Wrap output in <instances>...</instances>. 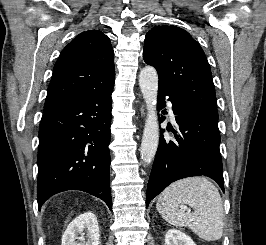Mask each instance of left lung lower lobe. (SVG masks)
Wrapping results in <instances>:
<instances>
[{
  "mask_svg": "<svg viewBox=\"0 0 266 245\" xmlns=\"http://www.w3.org/2000/svg\"><path fill=\"white\" fill-rule=\"evenodd\" d=\"M166 95L173 104L179 128L178 131L174 130L176 140H168L160 135L147 186L146 206L169 184L191 176L210 177L224 192L218 116L173 96L161 86L158 89V109L165 107ZM177 132L181 134L177 135Z\"/></svg>",
  "mask_w": 266,
  "mask_h": 245,
  "instance_id": "obj_1",
  "label": "left lung lower lobe"
}]
</instances>
